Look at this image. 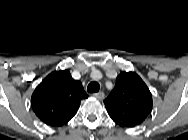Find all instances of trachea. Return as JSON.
<instances>
[{
  "mask_svg": "<svg viewBox=\"0 0 188 140\" xmlns=\"http://www.w3.org/2000/svg\"><path fill=\"white\" fill-rule=\"evenodd\" d=\"M100 89V85L97 82H91L88 87H87V91L89 93H95L98 92Z\"/></svg>",
  "mask_w": 188,
  "mask_h": 140,
  "instance_id": "3493384b",
  "label": "trachea"
}]
</instances>
